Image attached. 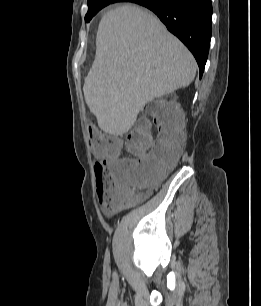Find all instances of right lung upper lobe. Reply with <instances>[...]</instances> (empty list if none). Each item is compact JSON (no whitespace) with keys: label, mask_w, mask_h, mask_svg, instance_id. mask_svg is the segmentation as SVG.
Here are the masks:
<instances>
[{"label":"right lung upper lobe","mask_w":261,"mask_h":306,"mask_svg":"<svg viewBox=\"0 0 261 306\" xmlns=\"http://www.w3.org/2000/svg\"><path fill=\"white\" fill-rule=\"evenodd\" d=\"M90 1H110V0H88V2ZM113 1H118V2H131L132 0H113Z\"/></svg>","instance_id":"right-lung-upper-lobe-1"}]
</instances>
